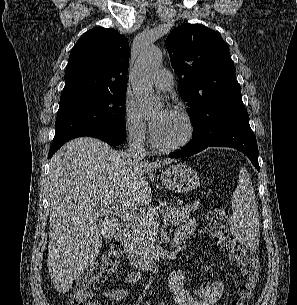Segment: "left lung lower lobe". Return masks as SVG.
<instances>
[{"instance_id":"1","label":"left lung lower lobe","mask_w":297,"mask_h":305,"mask_svg":"<svg viewBox=\"0 0 297 305\" xmlns=\"http://www.w3.org/2000/svg\"><path fill=\"white\" fill-rule=\"evenodd\" d=\"M231 147L244 153L260 171L256 137L249 124V116L244 108L214 121L202 136L193 138L181 151L169 154L170 158L194 155L207 147Z\"/></svg>"}]
</instances>
